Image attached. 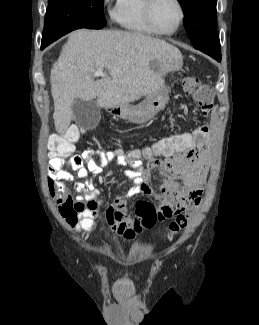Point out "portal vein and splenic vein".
Listing matches in <instances>:
<instances>
[{
  "mask_svg": "<svg viewBox=\"0 0 259 325\" xmlns=\"http://www.w3.org/2000/svg\"><path fill=\"white\" fill-rule=\"evenodd\" d=\"M95 77H106V74L102 72V69H98L94 74Z\"/></svg>",
  "mask_w": 259,
  "mask_h": 325,
  "instance_id": "obj_1",
  "label": "portal vein and splenic vein"
}]
</instances>
